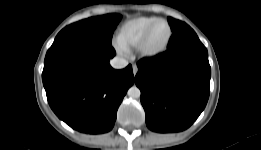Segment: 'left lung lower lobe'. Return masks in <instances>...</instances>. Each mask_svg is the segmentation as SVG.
<instances>
[{"instance_id":"0a47b994","label":"left lung lower lobe","mask_w":261,"mask_h":150,"mask_svg":"<svg viewBox=\"0 0 261 150\" xmlns=\"http://www.w3.org/2000/svg\"><path fill=\"white\" fill-rule=\"evenodd\" d=\"M135 83L148 128L155 132L187 129L205 108L210 93L208 52L188 26L173 32L167 51L137 63Z\"/></svg>"}]
</instances>
